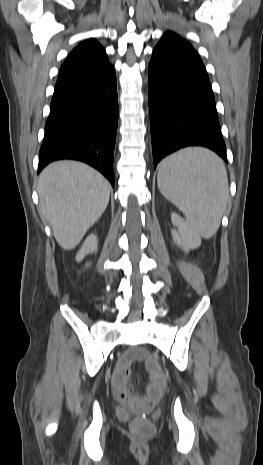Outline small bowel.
<instances>
[{
  "label": "small bowel",
  "mask_w": 263,
  "mask_h": 465,
  "mask_svg": "<svg viewBox=\"0 0 263 465\" xmlns=\"http://www.w3.org/2000/svg\"><path fill=\"white\" fill-rule=\"evenodd\" d=\"M138 352L131 351L126 353L118 362V365L114 371L112 385L115 395L118 399L123 402H131L137 396H132L128 391V380L130 377V364L138 358ZM164 382L163 376L157 371L151 372V383L150 385H157L162 387Z\"/></svg>",
  "instance_id": "1"
}]
</instances>
